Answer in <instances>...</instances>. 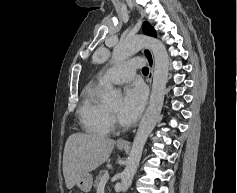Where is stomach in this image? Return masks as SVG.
Returning a JSON list of instances; mask_svg holds the SVG:
<instances>
[{
    "label": "stomach",
    "mask_w": 237,
    "mask_h": 193,
    "mask_svg": "<svg viewBox=\"0 0 237 193\" xmlns=\"http://www.w3.org/2000/svg\"><path fill=\"white\" fill-rule=\"evenodd\" d=\"M118 149L122 150L124 146H117ZM93 183V178L90 173H86L76 184L84 192H89Z\"/></svg>",
    "instance_id": "1"
}]
</instances>
